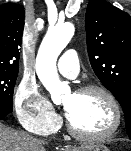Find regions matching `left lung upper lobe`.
I'll return each instance as SVG.
<instances>
[{
  "instance_id": "1",
  "label": "left lung upper lobe",
  "mask_w": 131,
  "mask_h": 151,
  "mask_svg": "<svg viewBox=\"0 0 131 151\" xmlns=\"http://www.w3.org/2000/svg\"><path fill=\"white\" fill-rule=\"evenodd\" d=\"M85 24L90 64L122 106L131 135V17L104 0H90Z\"/></svg>"
}]
</instances>
